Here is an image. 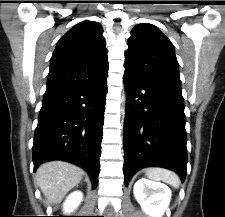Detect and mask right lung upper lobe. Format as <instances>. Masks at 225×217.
<instances>
[{
    "label": "right lung upper lobe",
    "instance_id": "1",
    "mask_svg": "<svg viewBox=\"0 0 225 217\" xmlns=\"http://www.w3.org/2000/svg\"><path fill=\"white\" fill-rule=\"evenodd\" d=\"M102 26L83 21L57 43L51 58L45 94L86 87L108 76L107 50Z\"/></svg>",
    "mask_w": 225,
    "mask_h": 217
}]
</instances>
